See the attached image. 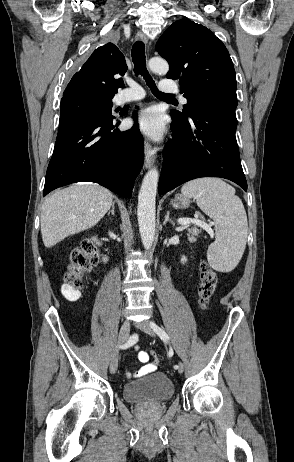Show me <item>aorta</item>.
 Returning a JSON list of instances; mask_svg holds the SVG:
<instances>
[{
	"instance_id": "obj_1",
	"label": "aorta",
	"mask_w": 294,
	"mask_h": 462,
	"mask_svg": "<svg viewBox=\"0 0 294 462\" xmlns=\"http://www.w3.org/2000/svg\"><path fill=\"white\" fill-rule=\"evenodd\" d=\"M149 68L154 73L166 74L169 70V65L166 60L154 57L149 60ZM158 179L159 173L157 168H151L143 178L138 195V224L141 240L145 249L151 248L155 236V202Z\"/></svg>"
}]
</instances>
